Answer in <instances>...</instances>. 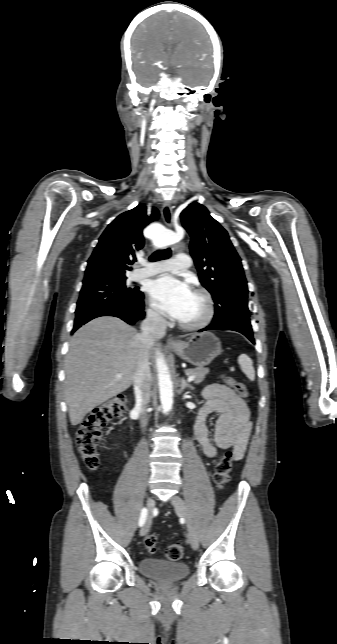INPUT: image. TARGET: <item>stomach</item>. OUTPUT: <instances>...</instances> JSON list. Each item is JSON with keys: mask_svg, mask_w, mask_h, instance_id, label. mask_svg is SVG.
<instances>
[{"mask_svg": "<svg viewBox=\"0 0 337 644\" xmlns=\"http://www.w3.org/2000/svg\"><path fill=\"white\" fill-rule=\"evenodd\" d=\"M171 349L186 362L204 368L222 352L220 340L211 332L194 334L187 342Z\"/></svg>", "mask_w": 337, "mask_h": 644, "instance_id": "1", "label": "stomach"}]
</instances>
